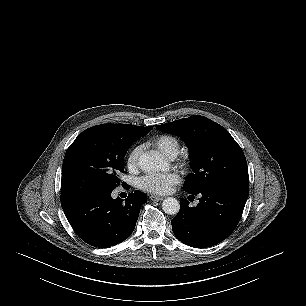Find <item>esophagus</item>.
Here are the masks:
<instances>
[{"instance_id": "34e87169", "label": "esophagus", "mask_w": 306, "mask_h": 306, "mask_svg": "<svg viewBox=\"0 0 306 306\" xmlns=\"http://www.w3.org/2000/svg\"><path fill=\"white\" fill-rule=\"evenodd\" d=\"M152 201H162L164 198L162 196L152 195L149 197Z\"/></svg>"}]
</instances>
